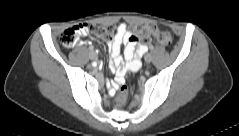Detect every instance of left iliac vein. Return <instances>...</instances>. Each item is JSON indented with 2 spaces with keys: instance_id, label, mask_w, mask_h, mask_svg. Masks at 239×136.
I'll use <instances>...</instances> for the list:
<instances>
[{
  "instance_id": "left-iliac-vein-1",
  "label": "left iliac vein",
  "mask_w": 239,
  "mask_h": 136,
  "mask_svg": "<svg viewBox=\"0 0 239 136\" xmlns=\"http://www.w3.org/2000/svg\"><path fill=\"white\" fill-rule=\"evenodd\" d=\"M144 60L146 63H150L152 61V56L150 54H146Z\"/></svg>"
}]
</instances>
